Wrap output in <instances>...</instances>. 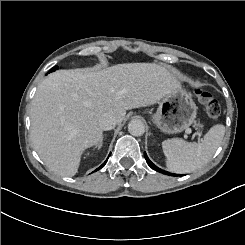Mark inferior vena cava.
Here are the masks:
<instances>
[{"label": "inferior vena cava", "instance_id": "obj_1", "mask_svg": "<svg viewBox=\"0 0 245 245\" xmlns=\"http://www.w3.org/2000/svg\"><path fill=\"white\" fill-rule=\"evenodd\" d=\"M98 123H99V127L102 129V130H111L115 127L116 125V119L115 117L110 114V113H103L99 120H98Z\"/></svg>", "mask_w": 245, "mask_h": 245}]
</instances>
